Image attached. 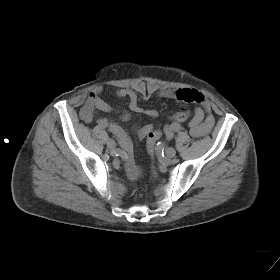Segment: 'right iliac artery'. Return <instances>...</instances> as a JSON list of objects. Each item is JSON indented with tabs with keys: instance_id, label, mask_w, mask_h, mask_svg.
<instances>
[{
	"instance_id": "82829eb1",
	"label": "right iliac artery",
	"mask_w": 280,
	"mask_h": 280,
	"mask_svg": "<svg viewBox=\"0 0 280 280\" xmlns=\"http://www.w3.org/2000/svg\"><path fill=\"white\" fill-rule=\"evenodd\" d=\"M98 124L101 128L108 127V121L106 119L99 120ZM116 137L118 139V142H119L120 146L126 152H128L130 154L132 152V146H131L129 140L127 138L123 137V136H120V135H116Z\"/></svg>"
}]
</instances>
